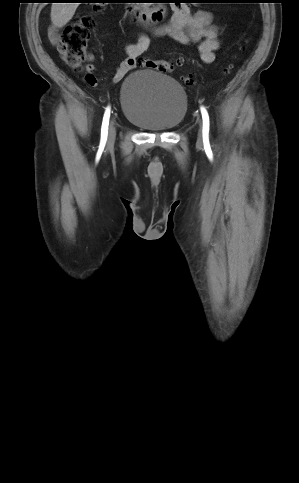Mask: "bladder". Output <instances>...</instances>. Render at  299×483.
<instances>
[{"mask_svg": "<svg viewBox=\"0 0 299 483\" xmlns=\"http://www.w3.org/2000/svg\"><path fill=\"white\" fill-rule=\"evenodd\" d=\"M119 99L125 120L147 131L173 130L182 123L188 109L182 85L148 68L127 75Z\"/></svg>", "mask_w": 299, "mask_h": 483, "instance_id": "31cf9c89", "label": "bladder"}]
</instances>
